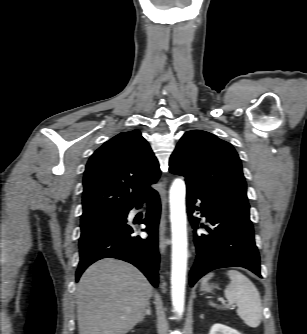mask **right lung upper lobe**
<instances>
[{
  "instance_id": "cb5924a9",
  "label": "right lung upper lobe",
  "mask_w": 307,
  "mask_h": 334,
  "mask_svg": "<svg viewBox=\"0 0 307 334\" xmlns=\"http://www.w3.org/2000/svg\"><path fill=\"white\" fill-rule=\"evenodd\" d=\"M159 176L158 161L138 130L116 135L86 165L82 216L128 212Z\"/></svg>"
}]
</instances>
